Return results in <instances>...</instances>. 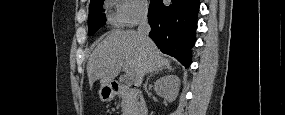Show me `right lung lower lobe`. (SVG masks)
I'll use <instances>...</instances> for the list:
<instances>
[{
	"mask_svg": "<svg viewBox=\"0 0 285 115\" xmlns=\"http://www.w3.org/2000/svg\"><path fill=\"white\" fill-rule=\"evenodd\" d=\"M151 0L148 21L150 37L158 48L175 57L185 67L191 64V49L196 40L199 0Z\"/></svg>",
	"mask_w": 285,
	"mask_h": 115,
	"instance_id": "1",
	"label": "right lung lower lobe"
}]
</instances>
